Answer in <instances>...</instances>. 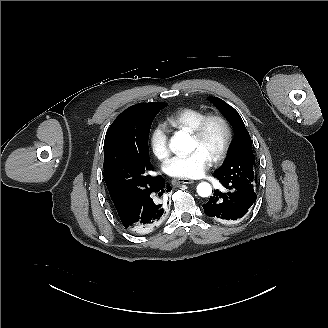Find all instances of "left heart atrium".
<instances>
[{"mask_svg":"<svg viewBox=\"0 0 328 328\" xmlns=\"http://www.w3.org/2000/svg\"><path fill=\"white\" fill-rule=\"evenodd\" d=\"M211 158L203 151L196 149L186 154L178 155L166 161V172L174 177L196 179L202 177L210 168Z\"/></svg>","mask_w":328,"mask_h":328,"instance_id":"left-heart-atrium-1","label":"left heart atrium"}]
</instances>
